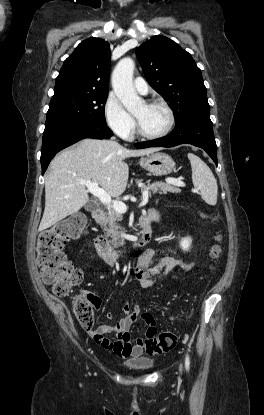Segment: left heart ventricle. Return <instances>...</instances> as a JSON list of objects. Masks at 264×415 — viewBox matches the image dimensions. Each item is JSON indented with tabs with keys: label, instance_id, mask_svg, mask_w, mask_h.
Here are the masks:
<instances>
[{
	"label": "left heart ventricle",
	"instance_id": "1",
	"mask_svg": "<svg viewBox=\"0 0 264 415\" xmlns=\"http://www.w3.org/2000/svg\"><path fill=\"white\" fill-rule=\"evenodd\" d=\"M134 117L138 120L142 131L146 134H157L162 132L168 124V114L160 106H148L142 104L135 112Z\"/></svg>",
	"mask_w": 264,
	"mask_h": 415
}]
</instances>
